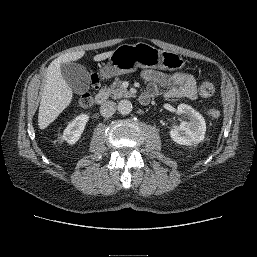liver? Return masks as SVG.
I'll list each match as a JSON object with an SVG mask.
<instances>
[{
    "label": "liver",
    "mask_w": 257,
    "mask_h": 257,
    "mask_svg": "<svg viewBox=\"0 0 257 257\" xmlns=\"http://www.w3.org/2000/svg\"><path fill=\"white\" fill-rule=\"evenodd\" d=\"M113 51L104 52L94 56V61H102L109 58ZM84 51L63 54L53 60L46 73V80L42 91L41 102L38 113V125L45 129L58 115L69 106L73 92L61 74L60 65L71 63L84 56Z\"/></svg>",
    "instance_id": "6515ba94"
}]
</instances>
